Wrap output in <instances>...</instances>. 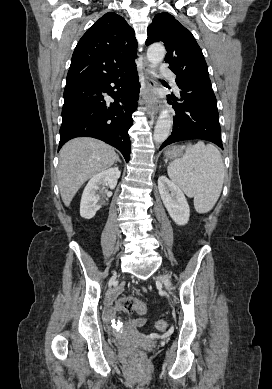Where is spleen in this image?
I'll list each match as a JSON object with an SVG mask.
<instances>
[{
    "label": "spleen",
    "instance_id": "obj_1",
    "mask_svg": "<svg viewBox=\"0 0 272 389\" xmlns=\"http://www.w3.org/2000/svg\"><path fill=\"white\" fill-rule=\"evenodd\" d=\"M167 172L188 197H194L198 213H207L214 207L224 181V163L214 145L189 143L184 156L171 162Z\"/></svg>",
    "mask_w": 272,
    "mask_h": 389
}]
</instances>
